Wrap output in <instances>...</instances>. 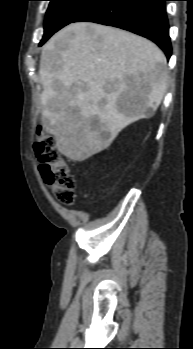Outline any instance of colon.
Instances as JSON below:
<instances>
[{
	"mask_svg": "<svg viewBox=\"0 0 193 349\" xmlns=\"http://www.w3.org/2000/svg\"><path fill=\"white\" fill-rule=\"evenodd\" d=\"M34 151L45 183L52 188L59 202L71 205L75 199V180L70 165L56 149L55 138L38 131Z\"/></svg>",
	"mask_w": 193,
	"mask_h": 349,
	"instance_id": "colon-1",
	"label": "colon"
}]
</instances>
